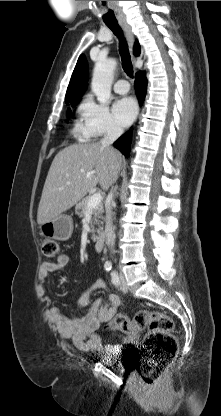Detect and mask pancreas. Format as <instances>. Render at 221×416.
<instances>
[{
    "mask_svg": "<svg viewBox=\"0 0 221 416\" xmlns=\"http://www.w3.org/2000/svg\"><path fill=\"white\" fill-rule=\"evenodd\" d=\"M89 199H90V197H86L81 202H79L75 207V213L80 218H82V217H84V215L87 212H90V214L92 215V221H91L92 222V225H91L92 230L91 231L93 233L92 238H94L95 237V232L100 233V231H101L100 225L103 223L102 220L104 219V217H103L104 209H103V204L100 203L95 208H93L91 210H88L87 209V203H88ZM94 225H98L99 229L96 230Z\"/></svg>",
    "mask_w": 221,
    "mask_h": 416,
    "instance_id": "cf45deb5",
    "label": "pancreas"
}]
</instances>
